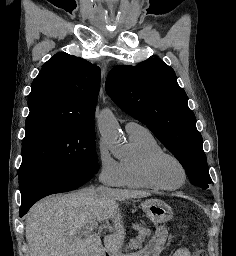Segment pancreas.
<instances>
[{
    "label": "pancreas",
    "mask_w": 236,
    "mask_h": 256,
    "mask_svg": "<svg viewBox=\"0 0 236 256\" xmlns=\"http://www.w3.org/2000/svg\"><path fill=\"white\" fill-rule=\"evenodd\" d=\"M136 230L139 232L140 236H138V238H130V242H125L123 244L129 250H134L135 247H141L142 243H146V236H150V230H148V227L140 225Z\"/></svg>",
    "instance_id": "obj_1"
}]
</instances>
